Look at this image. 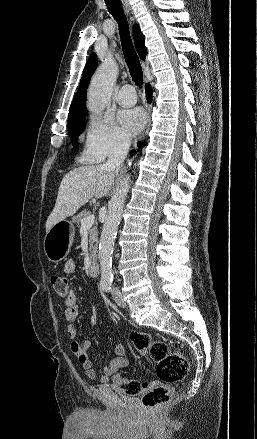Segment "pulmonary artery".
<instances>
[{"instance_id":"1","label":"pulmonary artery","mask_w":257,"mask_h":439,"mask_svg":"<svg viewBox=\"0 0 257 439\" xmlns=\"http://www.w3.org/2000/svg\"><path fill=\"white\" fill-rule=\"evenodd\" d=\"M117 102L122 106H132L136 103L137 97L131 85H124L118 92Z\"/></svg>"}]
</instances>
